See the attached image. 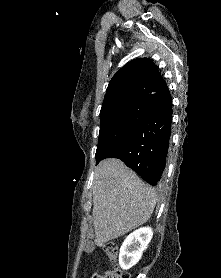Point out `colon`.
<instances>
[{"instance_id":"1","label":"colon","mask_w":221,"mask_h":278,"mask_svg":"<svg viewBox=\"0 0 221 278\" xmlns=\"http://www.w3.org/2000/svg\"><path fill=\"white\" fill-rule=\"evenodd\" d=\"M104 250L109 258V260L116 264L118 259V247L115 243L109 242L104 246ZM91 278H130L129 275L121 271L118 266H115L111 270L105 271H95Z\"/></svg>"}]
</instances>
